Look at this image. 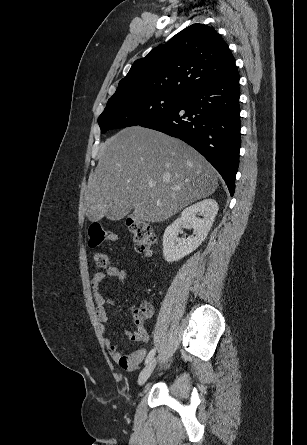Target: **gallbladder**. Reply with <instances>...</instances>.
Listing matches in <instances>:
<instances>
[{"instance_id":"bac80fb5","label":"gallbladder","mask_w":307,"mask_h":445,"mask_svg":"<svg viewBox=\"0 0 307 445\" xmlns=\"http://www.w3.org/2000/svg\"><path fill=\"white\" fill-rule=\"evenodd\" d=\"M133 209L134 206L132 204H127L125 200H122L120 204L116 203L111 206L110 210L106 213V219L112 223L120 222L121 219L127 218Z\"/></svg>"}]
</instances>
